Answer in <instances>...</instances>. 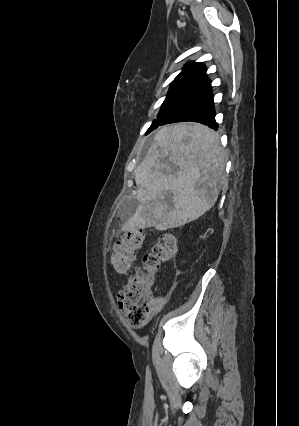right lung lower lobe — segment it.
<instances>
[{
    "label": "right lung lower lobe",
    "mask_w": 299,
    "mask_h": 426,
    "mask_svg": "<svg viewBox=\"0 0 299 426\" xmlns=\"http://www.w3.org/2000/svg\"><path fill=\"white\" fill-rule=\"evenodd\" d=\"M182 121L200 122L215 130L218 129L211 85H202L179 100L163 115L152 130L159 125Z\"/></svg>",
    "instance_id": "right-lung-lower-lobe-1"
}]
</instances>
